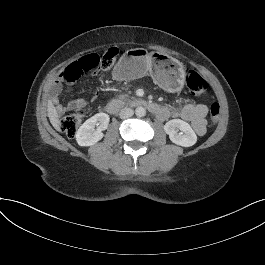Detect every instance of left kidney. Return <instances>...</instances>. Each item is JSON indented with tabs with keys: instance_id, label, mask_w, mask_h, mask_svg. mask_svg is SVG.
Instances as JSON below:
<instances>
[{
	"instance_id": "left-kidney-1",
	"label": "left kidney",
	"mask_w": 265,
	"mask_h": 265,
	"mask_svg": "<svg viewBox=\"0 0 265 265\" xmlns=\"http://www.w3.org/2000/svg\"><path fill=\"white\" fill-rule=\"evenodd\" d=\"M163 129L164 132L169 135L170 141L178 146L187 148L197 143L196 133L193 131L190 124L183 120H170L164 125ZM178 129L181 130L180 134L177 133Z\"/></svg>"
}]
</instances>
